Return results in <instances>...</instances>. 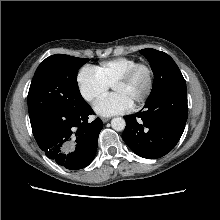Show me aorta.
Returning a JSON list of instances; mask_svg holds the SVG:
<instances>
[{
    "mask_svg": "<svg viewBox=\"0 0 220 220\" xmlns=\"http://www.w3.org/2000/svg\"><path fill=\"white\" fill-rule=\"evenodd\" d=\"M111 126L116 131H122L125 129L126 122L121 117H115L111 120Z\"/></svg>",
    "mask_w": 220,
    "mask_h": 220,
    "instance_id": "1",
    "label": "aorta"
}]
</instances>
